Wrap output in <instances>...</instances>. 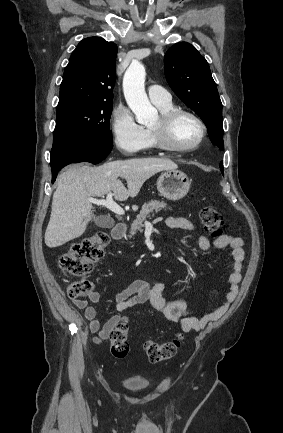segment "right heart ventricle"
I'll use <instances>...</instances> for the list:
<instances>
[{
    "label": "right heart ventricle",
    "instance_id": "1",
    "mask_svg": "<svg viewBox=\"0 0 283 433\" xmlns=\"http://www.w3.org/2000/svg\"><path fill=\"white\" fill-rule=\"evenodd\" d=\"M157 107H158L159 111L161 112V114H163V113H165V112H167V111H169L171 109H174L175 105L172 102H169L167 104L157 105ZM148 133H149V135L151 137V141L155 142L156 138H155V135L152 132V130H149Z\"/></svg>",
    "mask_w": 283,
    "mask_h": 433
}]
</instances>
